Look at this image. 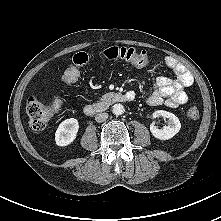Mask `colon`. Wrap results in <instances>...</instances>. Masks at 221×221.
<instances>
[{
  "label": "colon",
  "mask_w": 221,
  "mask_h": 221,
  "mask_svg": "<svg viewBox=\"0 0 221 221\" xmlns=\"http://www.w3.org/2000/svg\"><path fill=\"white\" fill-rule=\"evenodd\" d=\"M101 57L109 61L123 60L135 66H146L149 63L146 51L133 47H109L101 53ZM90 60L91 56L85 52L75 54L72 63L63 73L64 83L72 85L77 82L81 74L80 68L88 64ZM59 108L60 101L56 98L42 100L36 96H31L27 102L31 127L35 130L44 129ZM186 116L189 120L196 121L200 117V110L196 106H190L186 110Z\"/></svg>",
  "instance_id": "obj_1"
}]
</instances>
